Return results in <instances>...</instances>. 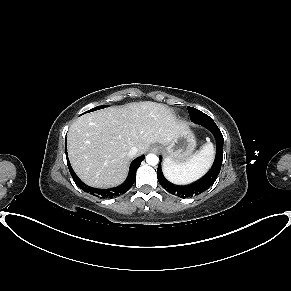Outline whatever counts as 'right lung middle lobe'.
<instances>
[{"instance_id": "dd1d6c3e", "label": "right lung middle lobe", "mask_w": 291, "mask_h": 291, "mask_svg": "<svg viewBox=\"0 0 291 291\" xmlns=\"http://www.w3.org/2000/svg\"><path fill=\"white\" fill-rule=\"evenodd\" d=\"M105 107H107V106L106 105L97 106V107H95L93 109H90V110L84 112L83 114L88 113V112H92V111H95V110H99V109H102V108H105Z\"/></svg>"}]
</instances>
